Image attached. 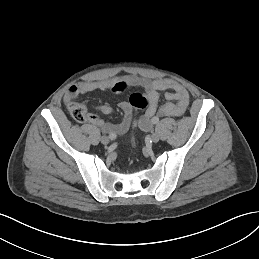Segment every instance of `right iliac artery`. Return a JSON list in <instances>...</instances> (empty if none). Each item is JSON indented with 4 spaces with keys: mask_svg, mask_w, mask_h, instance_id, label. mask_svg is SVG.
<instances>
[{
    "mask_svg": "<svg viewBox=\"0 0 259 259\" xmlns=\"http://www.w3.org/2000/svg\"><path fill=\"white\" fill-rule=\"evenodd\" d=\"M116 134L115 133H111V134H109V138L111 139V140H114V139H116Z\"/></svg>",
    "mask_w": 259,
    "mask_h": 259,
    "instance_id": "right-iliac-artery-1",
    "label": "right iliac artery"
}]
</instances>
